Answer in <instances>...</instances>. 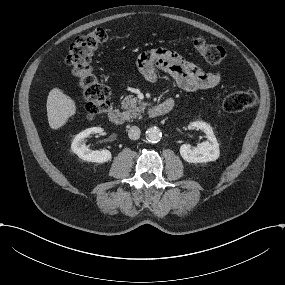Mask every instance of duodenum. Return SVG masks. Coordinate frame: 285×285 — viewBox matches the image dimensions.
<instances>
[{
  "mask_svg": "<svg viewBox=\"0 0 285 285\" xmlns=\"http://www.w3.org/2000/svg\"><path fill=\"white\" fill-rule=\"evenodd\" d=\"M173 107H174V100L172 98H168L163 102H161L160 104L152 106L149 110V114L151 117H160L171 112ZM107 115L109 120L113 124L121 125L124 123V116L122 112L116 107H111L108 110Z\"/></svg>",
  "mask_w": 285,
  "mask_h": 285,
  "instance_id": "410a0bca",
  "label": "duodenum"
}]
</instances>
